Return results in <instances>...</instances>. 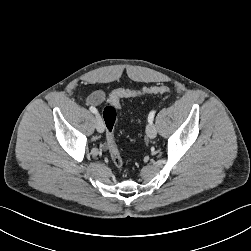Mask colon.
<instances>
[{
  "label": "colon",
  "mask_w": 251,
  "mask_h": 251,
  "mask_svg": "<svg viewBox=\"0 0 251 251\" xmlns=\"http://www.w3.org/2000/svg\"><path fill=\"white\" fill-rule=\"evenodd\" d=\"M168 92H170L169 87L164 85L152 86L149 88H144L142 90L118 89L111 92L108 97V104L102 110V115L107 128V147L111 160L116 167L120 168L123 166V158L117 148L114 137V127L117 119V108L120 106L121 100L124 98H134L143 95L165 94Z\"/></svg>",
  "instance_id": "obj_1"
}]
</instances>
